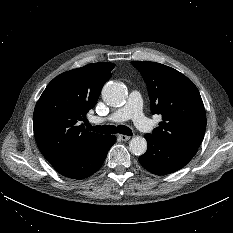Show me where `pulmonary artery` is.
Instances as JSON below:
<instances>
[{
  "instance_id": "pulmonary-artery-1",
  "label": "pulmonary artery",
  "mask_w": 233,
  "mask_h": 233,
  "mask_svg": "<svg viewBox=\"0 0 233 233\" xmlns=\"http://www.w3.org/2000/svg\"><path fill=\"white\" fill-rule=\"evenodd\" d=\"M142 95L139 91L133 90L129 94L126 104L111 113L110 115L98 118L99 122H122L132 119L134 124L141 130L150 131L152 125L146 119L142 112Z\"/></svg>"
}]
</instances>
